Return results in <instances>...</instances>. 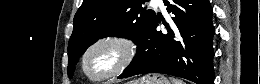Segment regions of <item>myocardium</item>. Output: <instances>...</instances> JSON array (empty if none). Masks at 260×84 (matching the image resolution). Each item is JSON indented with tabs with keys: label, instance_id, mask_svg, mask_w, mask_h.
Here are the masks:
<instances>
[{
	"label": "myocardium",
	"instance_id": "myocardium-1",
	"mask_svg": "<svg viewBox=\"0 0 260 84\" xmlns=\"http://www.w3.org/2000/svg\"><path fill=\"white\" fill-rule=\"evenodd\" d=\"M102 46L112 47L117 53V59L111 70L102 75L94 76L90 73L87 64L94 51ZM137 54L138 45L131 36L122 33H105L94 39L85 48L80 59V70L89 81L104 82L125 72L135 61Z\"/></svg>",
	"mask_w": 260,
	"mask_h": 84
}]
</instances>
